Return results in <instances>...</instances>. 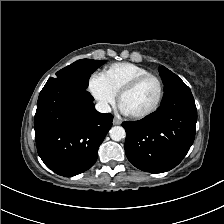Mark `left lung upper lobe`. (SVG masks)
<instances>
[{"label":"left lung upper lobe","instance_id":"obj_1","mask_svg":"<svg viewBox=\"0 0 224 224\" xmlns=\"http://www.w3.org/2000/svg\"><path fill=\"white\" fill-rule=\"evenodd\" d=\"M159 73L164 83V96L162 101L174 97L181 91L190 90L176 74L168 70L166 67L160 66Z\"/></svg>","mask_w":224,"mask_h":224}]
</instances>
